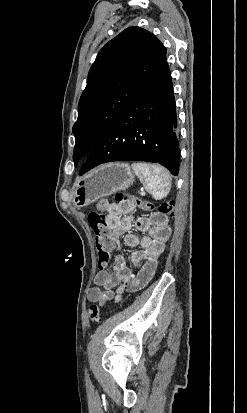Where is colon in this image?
<instances>
[{
	"mask_svg": "<svg viewBox=\"0 0 247 413\" xmlns=\"http://www.w3.org/2000/svg\"><path fill=\"white\" fill-rule=\"evenodd\" d=\"M115 199L118 202H121L122 199H128L131 201V205L133 207H143L147 210L154 209V205L152 203L143 201L135 195H130L127 198L122 192H118L115 195ZM174 208V201H163L158 208V214L162 217H173ZM87 221L89 222V226L93 230L96 238L95 243L99 252L100 265H110V263H112L110 253L113 252L114 247L111 244V237L108 235L110 229L104 215L94 212L87 216ZM87 313L91 322H97L101 316V308L96 304H91L87 308Z\"/></svg>",
	"mask_w": 247,
	"mask_h": 413,
	"instance_id": "5ec220e1",
	"label": "colon"
}]
</instances>
